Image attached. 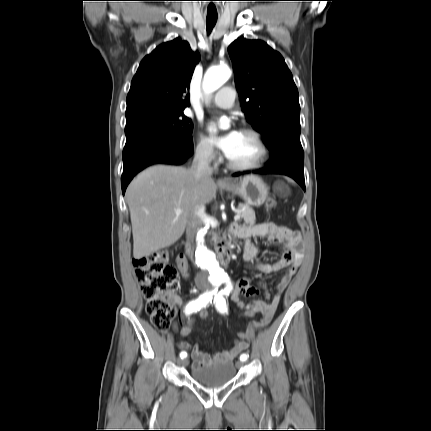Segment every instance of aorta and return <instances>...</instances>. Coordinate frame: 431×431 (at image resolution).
<instances>
[{
  "instance_id": "aorta-1",
  "label": "aorta",
  "mask_w": 431,
  "mask_h": 431,
  "mask_svg": "<svg viewBox=\"0 0 431 431\" xmlns=\"http://www.w3.org/2000/svg\"><path fill=\"white\" fill-rule=\"evenodd\" d=\"M231 76V70L227 65L211 67L204 75L202 87L206 94L219 89ZM210 229L204 226L197 232V247L195 259L197 265L204 270L208 285H219L227 279V274L220 267L215 253L207 246Z\"/></svg>"
}]
</instances>
